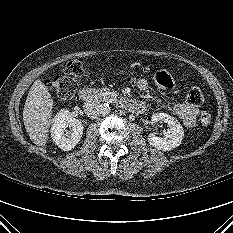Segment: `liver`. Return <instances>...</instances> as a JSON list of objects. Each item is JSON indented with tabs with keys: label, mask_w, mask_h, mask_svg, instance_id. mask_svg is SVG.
<instances>
[{
	"label": "liver",
	"mask_w": 233,
	"mask_h": 233,
	"mask_svg": "<svg viewBox=\"0 0 233 233\" xmlns=\"http://www.w3.org/2000/svg\"><path fill=\"white\" fill-rule=\"evenodd\" d=\"M54 100L41 80H36L28 93L23 121L25 129L35 145L46 146L49 127L53 123Z\"/></svg>",
	"instance_id": "obj_1"
}]
</instances>
